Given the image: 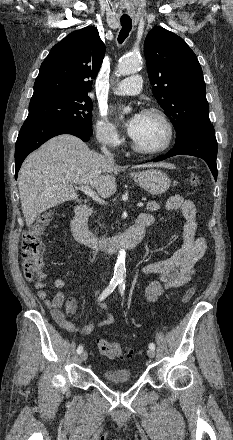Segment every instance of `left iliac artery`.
I'll return each mask as SVG.
<instances>
[{
	"label": "left iliac artery",
	"mask_w": 233,
	"mask_h": 440,
	"mask_svg": "<svg viewBox=\"0 0 233 440\" xmlns=\"http://www.w3.org/2000/svg\"><path fill=\"white\" fill-rule=\"evenodd\" d=\"M119 290H120L121 296H123L124 295V290H125V282L123 280L120 281ZM149 348L150 349H155V344L154 343H150L149 344Z\"/></svg>",
	"instance_id": "obj_1"
}]
</instances>
